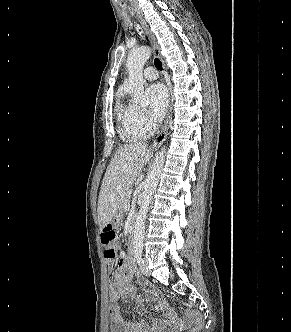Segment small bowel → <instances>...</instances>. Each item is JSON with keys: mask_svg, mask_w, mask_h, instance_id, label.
<instances>
[{"mask_svg": "<svg viewBox=\"0 0 291 332\" xmlns=\"http://www.w3.org/2000/svg\"><path fill=\"white\" fill-rule=\"evenodd\" d=\"M108 268L113 267V262L107 263ZM135 274V266L124 252L120 254V260L113 275V282L109 286L110 312H111V332H162L167 327H171L178 322L175 312L162 301L157 292L145 286L144 293L139 297L136 311L143 315L145 305L149 302L154 304L158 311H165L166 320H155L152 326L144 321L132 322L126 320L120 313L119 301L133 296L132 278Z\"/></svg>", "mask_w": 291, "mask_h": 332, "instance_id": "c3829d8e", "label": "small bowel"}]
</instances>
